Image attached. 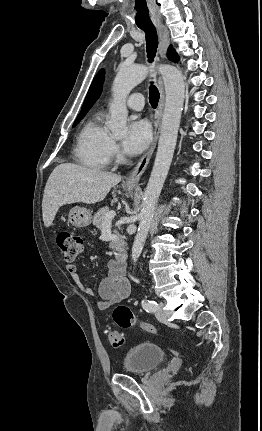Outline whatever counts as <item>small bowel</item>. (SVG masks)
I'll return each mask as SVG.
<instances>
[{"instance_id":"1","label":"small bowel","mask_w":262,"mask_h":431,"mask_svg":"<svg viewBox=\"0 0 262 431\" xmlns=\"http://www.w3.org/2000/svg\"><path fill=\"white\" fill-rule=\"evenodd\" d=\"M73 282L76 284L81 293L87 296H93L91 288L86 286L80 279L77 268L74 264L66 266ZM130 283L127 279V265L114 258L108 263L107 276L101 281L98 288L99 299L97 307L100 310H106L112 305L123 301L130 294Z\"/></svg>"}]
</instances>
